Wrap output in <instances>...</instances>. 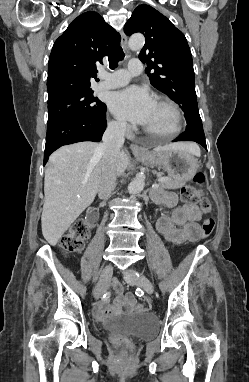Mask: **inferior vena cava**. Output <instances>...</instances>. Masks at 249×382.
Segmentation results:
<instances>
[{
    "label": "inferior vena cava",
    "instance_id": "1",
    "mask_svg": "<svg viewBox=\"0 0 249 382\" xmlns=\"http://www.w3.org/2000/svg\"><path fill=\"white\" fill-rule=\"evenodd\" d=\"M126 122L110 123L103 134L100 149L104 154V164L98 185V196L102 200H107L116 187V178L119 167L117 159L120 149L124 144Z\"/></svg>",
    "mask_w": 249,
    "mask_h": 382
}]
</instances>
